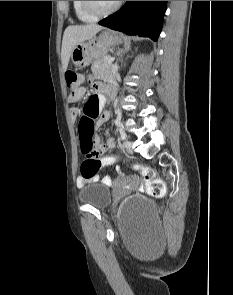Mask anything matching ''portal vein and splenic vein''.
Listing matches in <instances>:
<instances>
[{
  "instance_id": "18ae733b",
  "label": "portal vein and splenic vein",
  "mask_w": 233,
  "mask_h": 295,
  "mask_svg": "<svg viewBox=\"0 0 233 295\" xmlns=\"http://www.w3.org/2000/svg\"><path fill=\"white\" fill-rule=\"evenodd\" d=\"M114 61V58H110L109 60H108V63H111V62H113Z\"/></svg>"
}]
</instances>
